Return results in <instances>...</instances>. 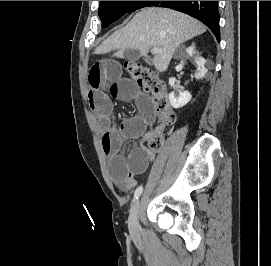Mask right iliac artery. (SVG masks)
<instances>
[{
  "instance_id": "1",
  "label": "right iliac artery",
  "mask_w": 271,
  "mask_h": 266,
  "mask_svg": "<svg viewBox=\"0 0 271 266\" xmlns=\"http://www.w3.org/2000/svg\"><path fill=\"white\" fill-rule=\"evenodd\" d=\"M142 191H143V187L139 186L134 192V199H138V197L141 195Z\"/></svg>"
}]
</instances>
